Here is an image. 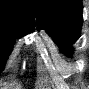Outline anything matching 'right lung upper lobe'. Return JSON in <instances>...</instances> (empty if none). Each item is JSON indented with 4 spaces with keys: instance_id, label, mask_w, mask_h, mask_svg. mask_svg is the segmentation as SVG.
<instances>
[{
    "instance_id": "1",
    "label": "right lung upper lobe",
    "mask_w": 89,
    "mask_h": 89,
    "mask_svg": "<svg viewBox=\"0 0 89 89\" xmlns=\"http://www.w3.org/2000/svg\"><path fill=\"white\" fill-rule=\"evenodd\" d=\"M0 22L35 29L33 0H0Z\"/></svg>"
}]
</instances>
